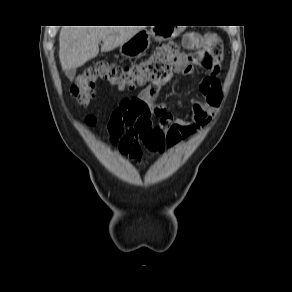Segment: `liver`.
<instances>
[{"mask_svg": "<svg viewBox=\"0 0 292 292\" xmlns=\"http://www.w3.org/2000/svg\"><path fill=\"white\" fill-rule=\"evenodd\" d=\"M142 28L137 26H64L59 35V58L64 71L84 65L101 51L123 45Z\"/></svg>", "mask_w": 292, "mask_h": 292, "instance_id": "6515ba94", "label": "liver"}]
</instances>
